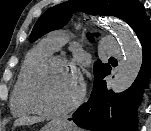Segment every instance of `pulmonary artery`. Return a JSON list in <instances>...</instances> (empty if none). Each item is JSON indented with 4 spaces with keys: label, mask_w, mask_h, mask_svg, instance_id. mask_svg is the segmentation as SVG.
<instances>
[{
    "label": "pulmonary artery",
    "mask_w": 151,
    "mask_h": 131,
    "mask_svg": "<svg viewBox=\"0 0 151 131\" xmlns=\"http://www.w3.org/2000/svg\"><path fill=\"white\" fill-rule=\"evenodd\" d=\"M46 41L54 50H58L68 41V37L62 31H54L47 36ZM101 46L110 54L119 53V47L113 38L104 37Z\"/></svg>",
    "instance_id": "pulmonary-artery-1"
}]
</instances>
